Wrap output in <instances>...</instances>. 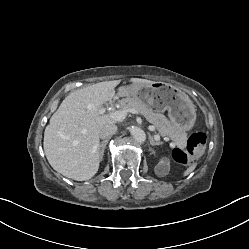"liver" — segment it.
<instances>
[{
	"instance_id": "1",
	"label": "liver",
	"mask_w": 249,
	"mask_h": 249,
	"mask_svg": "<svg viewBox=\"0 0 249 249\" xmlns=\"http://www.w3.org/2000/svg\"><path fill=\"white\" fill-rule=\"evenodd\" d=\"M136 84H152L141 78ZM120 80L105 81L71 92L52 115L44 132V152L54 170L77 181L92 178L100 163L99 131L115 124L109 114H101L103 104L114 97Z\"/></svg>"
}]
</instances>
